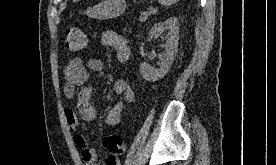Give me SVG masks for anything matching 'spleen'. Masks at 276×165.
Listing matches in <instances>:
<instances>
[{
  "label": "spleen",
  "mask_w": 276,
  "mask_h": 165,
  "mask_svg": "<svg viewBox=\"0 0 276 165\" xmlns=\"http://www.w3.org/2000/svg\"><path fill=\"white\" fill-rule=\"evenodd\" d=\"M160 4L165 5V6H170L179 0H158Z\"/></svg>",
  "instance_id": "3e777b00"
}]
</instances>
